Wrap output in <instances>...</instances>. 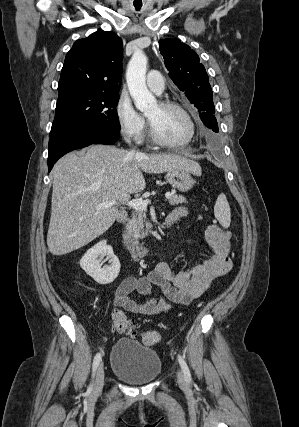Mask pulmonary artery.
I'll return each mask as SVG.
<instances>
[{"label": "pulmonary artery", "mask_w": 299, "mask_h": 427, "mask_svg": "<svg viewBox=\"0 0 299 427\" xmlns=\"http://www.w3.org/2000/svg\"><path fill=\"white\" fill-rule=\"evenodd\" d=\"M147 86L156 94H161L165 89V82L162 74L157 70H151L147 74Z\"/></svg>", "instance_id": "pulmonary-artery-1"}]
</instances>
